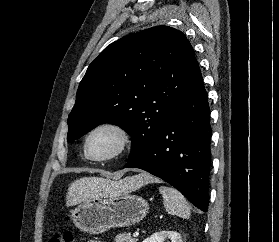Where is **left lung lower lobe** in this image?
I'll return each mask as SVG.
<instances>
[{"instance_id":"obj_1","label":"left lung lower lobe","mask_w":279,"mask_h":242,"mask_svg":"<svg viewBox=\"0 0 279 242\" xmlns=\"http://www.w3.org/2000/svg\"><path fill=\"white\" fill-rule=\"evenodd\" d=\"M210 112L202 75L194 74L160 134L124 168H140L178 189L193 205L207 211L211 170Z\"/></svg>"}]
</instances>
